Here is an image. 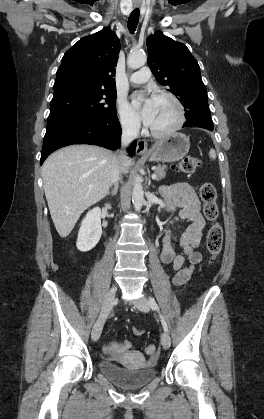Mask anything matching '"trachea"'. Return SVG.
Here are the masks:
<instances>
[{
  "label": "trachea",
  "instance_id": "obj_1",
  "mask_svg": "<svg viewBox=\"0 0 264 419\" xmlns=\"http://www.w3.org/2000/svg\"><path fill=\"white\" fill-rule=\"evenodd\" d=\"M139 21V9L136 8L132 11L128 19V29L131 33H134L136 30L137 24Z\"/></svg>",
  "mask_w": 264,
  "mask_h": 419
}]
</instances>
